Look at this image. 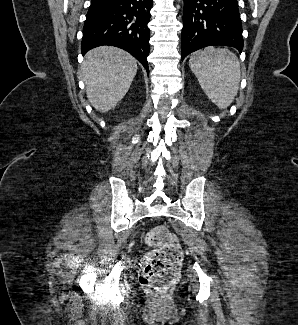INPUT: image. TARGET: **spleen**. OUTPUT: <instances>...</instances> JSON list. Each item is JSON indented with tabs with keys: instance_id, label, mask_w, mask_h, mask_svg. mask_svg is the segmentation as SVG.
<instances>
[{
	"instance_id": "3e777b00",
	"label": "spleen",
	"mask_w": 298,
	"mask_h": 325,
	"mask_svg": "<svg viewBox=\"0 0 298 325\" xmlns=\"http://www.w3.org/2000/svg\"><path fill=\"white\" fill-rule=\"evenodd\" d=\"M189 66L208 98L219 108H227L239 88L241 70L236 54L228 48L206 46L193 52Z\"/></svg>"
}]
</instances>
